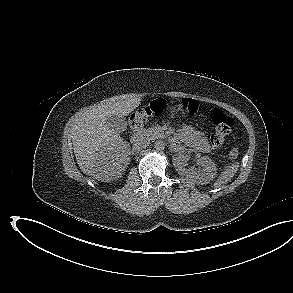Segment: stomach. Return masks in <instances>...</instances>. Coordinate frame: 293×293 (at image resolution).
Masks as SVG:
<instances>
[{"instance_id":"stomach-1","label":"stomach","mask_w":293,"mask_h":293,"mask_svg":"<svg viewBox=\"0 0 293 293\" xmlns=\"http://www.w3.org/2000/svg\"><path fill=\"white\" fill-rule=\"evenodd\" d=\"M181 108H182V104L180 103V101H177L172 106L173 112H178L179 110H181Z\"/></svg>"}]
</instances>
